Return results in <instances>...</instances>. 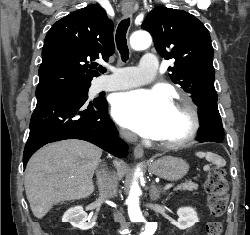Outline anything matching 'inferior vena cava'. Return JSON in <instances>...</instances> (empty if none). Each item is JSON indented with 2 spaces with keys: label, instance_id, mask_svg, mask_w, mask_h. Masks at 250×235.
Instances as JSON below:
<instances>
[{
  "label": "inferior vena cava",
  "instance_id": "obj_1",
  "mask_svg": "<svg viewBox=\"0 0 250 235\" xmlns=\"http://www.w3.org/2000/svg\"><path fill=\"white\" fill-rule=\"evenodd\" d=\"M121 136L129 141H134L135 136L131 132L122 131ZM97 181L100 192V198H112L117 193V177L114 173L107 172L105 169H102L97 173ZM115 221L120 222L121 226L126 225V221L121 212L114 214Z\"/></svg>",
  "mask_w": 250,
  "mask_h": 235
}]
</instances>
